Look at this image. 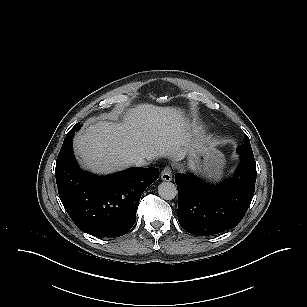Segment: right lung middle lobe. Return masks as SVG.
<instances>
[{"label":"right lung middle lobe","instance_id":"dd1d6c3e","mask_svg":"<svg viewBox=\"0 0 307 307\" xmlns=\"http://www.w3.org/2000/svg\"><path fill=\"white\" fill-rule=\"evenodd\" d=\"M81 128V125H79V124H76L71 130H73V131H78L79 129Z\"/></svg>","mask_w":307,"mask_h":307}]
</instances>
